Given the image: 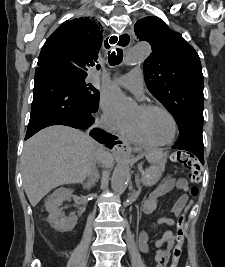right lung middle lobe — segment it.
<instances>
[{"instance_id": "dd1d6c3e", "label": "right lung middle lobe", "mask_w": 225, "mask_h": 267, "mask_svg": "<svg viewBox=\"0 0 225 267\" xmlns=\"http://www.w3.org/2000/svg\"><path fill=\"white\" fill-rule=\"evenodd\" d=\"M67 78L74 85L80 97L86 102V104L96 112L98 109L99 92L90 83H85L86 76L64 73Z\"/></svg>"}]
</instances>
